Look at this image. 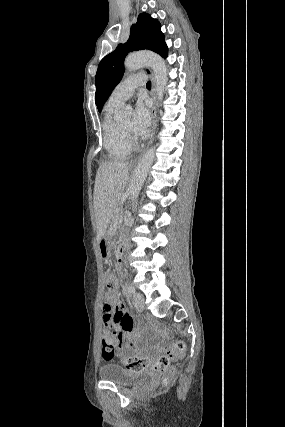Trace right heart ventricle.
Masks as SVG:
<instances>
[{
	"mask_svg": "<svg viewBox=\"0 0 285 427\" xmlns=\"http://www.w3.org/2000/svg\"><path fill=\"white\" fill-rule=\"evenodd\" d=\"M119 105L107 103L103 117V146L112 160H125L132 151V145L115 119Z\"/></svg>",
	"mask_w": 285,
	"mask_h": 427,
	"instance_id": "1",
	"label": "right heart ventricle"
}]
</instances>
